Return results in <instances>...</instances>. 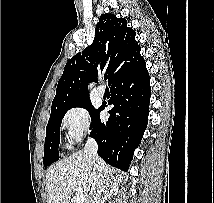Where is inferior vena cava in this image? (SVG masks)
I'll use <instances>...</instances> for the list:
<instances>
[{
    "mask_svg": "<svg viewBox=\"0 0 214 203\" xmlns=\"http://www.w3.org/2000/svg\"><path fill=\"white\" fill-rule=\"evenodd\" d=\"M98 145L93 138H88L84 147V154L88 163L92 166L91 179L94 184V195L88 201V203H100L102 186H103V171L104 166L103 160L98 156L97 153Z\"/></svg>",
    "mask_w": 214,
    "mask_h": 203,
    "instance_id": "obj_1",
    "label": "inferior vena cava"
}]
</instances>
